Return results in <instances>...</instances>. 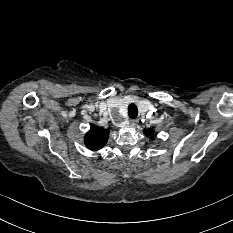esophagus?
<instances>
[{
	"mask_svg": "<svg viewBox=\"0 0 233 233\" xmlns=\"http://www.w3.org/2000/svg\"><path fill=\"white\" fill-rule=\"evenodd\" d=\"M136 124H137V120H135V119H132V120H130V122H129V126L132 127V128L135 127Z\"/></svg>",
	"mask_w": 233,
	"mask_h": 233,
	"instance_id": "esophagus-1",
	"label": "esophagus"
}]
</instances>
